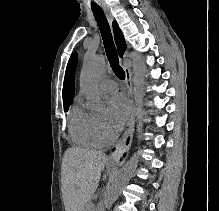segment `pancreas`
<instances>
[{"instance_id":"obj_1","label":"pancreas","mask_w":219,"mask_h":211,"mask_svg":"<svg viewBox=\"0 0 219 211\" xmlns=\"http://www.w3.org/2000/svg\"><path fill=\"white\" fill-rule=\"evenodd\" d=\"M86 203L87 211H97V207H95V205H97V200H87Z\"/></svg>"}]
</instances>
